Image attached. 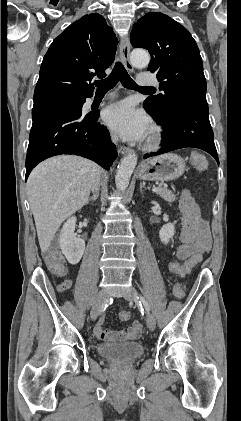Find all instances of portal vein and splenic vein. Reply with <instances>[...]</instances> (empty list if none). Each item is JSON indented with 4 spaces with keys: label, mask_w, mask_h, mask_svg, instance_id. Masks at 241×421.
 I'll use <instances>...</instances> for the list:
<instances>
[{
    "label": "portal vein and splenic vein",
    "mask_w": 241,
    "mask_h": 421,
    "mask_svg": "<svg viewBox=\"0 0 241 421\" xmlns=\"http://www.w3.org/2000/svg\"><path fill=\"white\" fill-rule=\"evenodd\" d=\"M152 190H153L154 192H156V191H157V188H156V187H153V188H152Z\"/></svg>",
    "instance_id": "1"
}]
</instances>
